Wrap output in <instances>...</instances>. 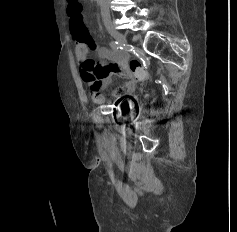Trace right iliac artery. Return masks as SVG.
<instances>
[{
    "instance_id": "1",
    "label": "right iliac artery",
    "mask_w": 237,
    "mask_h": 232,
    "mask_svg": "<svg viewBox=\"0 0 237 232\" xmlns=\"http://www.w3.org/2000/svg\"><path fill=\"white\" fill-rule=\"evenodd\" d=\"M110 45H111L112 49H114V50H118L119 48H121L117 41H112L110 43Z\"/></svg>"
}]
</instances>
